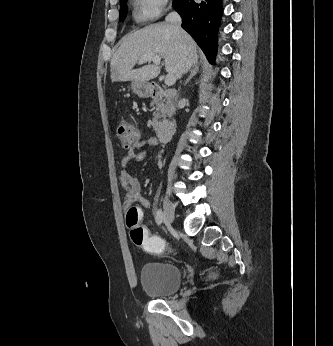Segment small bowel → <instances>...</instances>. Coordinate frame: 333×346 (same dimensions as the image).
I'll list each match as a JSON object with an SVG mask.
<instances>
[{
	"mask_svg": "<svg viewBox=\"0 0 333 346\" xmlns=\"http://www.w3.org/2000/svg\"><path fill=\"white\" fill-rule=\"evenodd\" d=\"M158 147L159 143L155 138H148L146 140H139L133 148L129 150L127 155L122 159V165L128 166L133 163L142 161L146 155V150L143 149L144 146ZM120 182L122 186L126 189V202L127 208L133 202H138L145 208L150 207V202L141 195V183L134 177L129 171L123 170L120 174Z\"/></svg>",
	"mask_w": 333,
	"mask_h": 346,
	"instance_id": "1",
	"label": "small bowel"
}]
</instances>
